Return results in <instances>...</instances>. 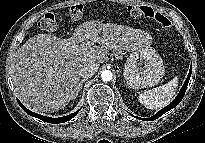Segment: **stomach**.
I'll return each mask as SVG.
<instances>
[{
    "instance_id": "0dacf381",
    "label": "stomach",
    "mask_w": 205,
    "mask_h": 143,
    "mask_svg": "<svg viewBox=\"0 0 205 143\" xmlns=\"http://www.w3.org/2000/svg\"><path fill=\"white\" fill-rule=\"evenodd\" d=\"M164 73L161 56L150 46L136 50L127 58L123 75L130 88L139 89L158 84Z\"/></svg>"
}]
</instances>
